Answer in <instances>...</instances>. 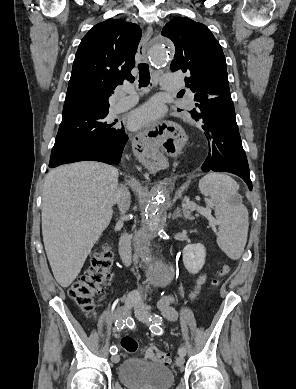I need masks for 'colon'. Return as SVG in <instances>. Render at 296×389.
<instances>
[{"instance_id": "colon-1", "label": "colon", "mask_w": 296, "mask_h": 389, "mask_svg": "<svg viewBox=\"0 0 296 389\" xmlns=\"http://www.w3.org/2000/svg\"><path fill=\"white\" fill-rule=\"evenodd\" d=\"M113 256L108 245H102L93 255L90 267L69 288V296L84 312L91 314L95 309V298L98 296L111 277ZM229 272L228 266H223L218 278L213 280L217 286ZM122 349L130 354L137 352L138 342L132 336H124L121 339ZM146 357L156 363L168 365L171 362L170 355L157 347L146 349Z\"/></svg>"}]
</instances>
